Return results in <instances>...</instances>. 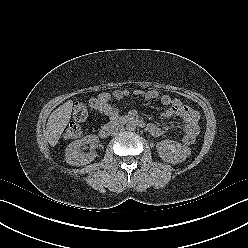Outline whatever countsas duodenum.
I'll use <instances>...</instances> for the list:
<instances>
[{"label":"duodenum","instance_id":"410a0bca","mask_svg":"<svg viewBox=\"0 0 248 248\" xmlns=\"http://www.w3.org/2000/svg\"><path fill=\"white\" fill-rule=\"evenodd\" d=\"M135 124L139 127H147V124L140 118L133 116V115H128V116H122V117H117L114 118L111 123L104 125L100 129V136L103 138H108L111 134V132L116 129L117 127L125 124Z\"/></svg>","mask_w":248,"mask_h":248}]
</instances>
